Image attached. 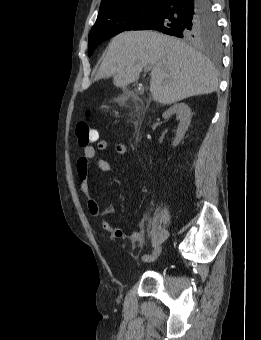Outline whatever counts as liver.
Segmentation results:
<instances>
[{"label":"liver","mask_w":261,"mask_h":340,"mask_svg":"<svg viewBox=\"0 0 261 340\" xmlns=\"http://www.w3.org/2000/svg\"><path fill=\"white\" fill-rule=\"evenodd\" d=\"M150 67V92L169 105L185 98L210 94L218 88V73L210 60L185 42L154 31H127L115 36L96 74L113 77L116 87L137 81Z\"/></svg>","instance_id":"obj_1"}]
</instances>
